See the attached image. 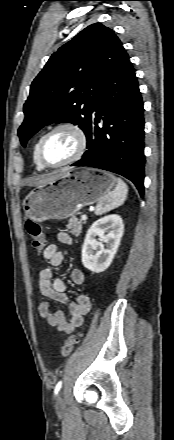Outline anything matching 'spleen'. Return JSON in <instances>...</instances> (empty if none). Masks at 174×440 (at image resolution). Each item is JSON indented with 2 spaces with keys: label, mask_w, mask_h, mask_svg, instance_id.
<instances>
[{
  "label": "spleen",
  "mask_w": 174,
  "mask_h": 440,
  "mask_svg": "<svg viewBox=\"0 0 174 440\" xmlns=\"http://www.w3.org/2000/svg\"><path fill=\"white\" fill-rule=\"evenodd\" d=\"M127 194L128 186L122 179L118 178L115 189L99 200L98 204L96 205L95 214L102 215L116 207L121 206L125 202Z\"/></svg>",
  "instance_id": "1"
}]
</instances>
